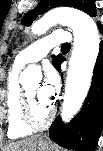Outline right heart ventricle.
<instances>
[{"instance_id":"obj_1","label":"right heart ventricle","mask_w":103,"mask_h":151,"mask_svg":"<svg viewBox=\"0 0 103 151\" xmlns=\"http://www.w3.org/2000/svg\"><path fill=\"white\" fill-rule=\"evenodd\" d=\"M23 66L14 62L7 80L6 87V108H7V135L11 139H19L26 137L32 133L21 118V100L22 87L19 83L18 77Z\"/></svg>"}]
</instances>
